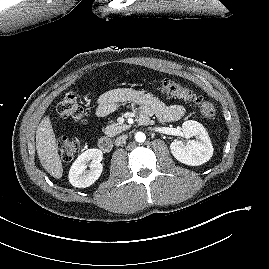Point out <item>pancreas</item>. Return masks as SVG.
<instances>
[{"label": "pancreas", "instance_id": "obj_1", "mask_svg": "<svg viewBox=\"0 0 269 269\" xmlns=\"http://www.w3.org/2000/svg\"><path fill=\"white\" fill-rule=\"evenodd\" d=\"M128 128L129 126L127 124L113 123L105 128V134L109 137H113Z\"/></svg>", "mask_w": 269, "mask_h": 269}]
</instances>
